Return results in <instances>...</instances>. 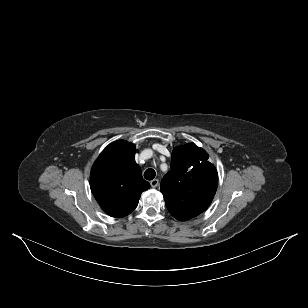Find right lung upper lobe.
Returning <instances> with one entry per match:
<instances>
[{
  "label": "right lung upper lobe",
  "mask_w": 308,
  "mask_h": 308,
  "mask_svg": "<svg viewBox=\"0 0 308 308\" xmlns=\"http://www.w3.org/2000/svg\"><path fill=\"white\" fill-rule=\"evenodd\" d=\"M134 155V144L115 141L103 150L92 167L91 191L100 207L112 217L130 214L137 207L141 193L150 187L142 178Z\"/></svg>",
  "instance_id": "right-lung-upper-lobe-1"
}]
</instances>
